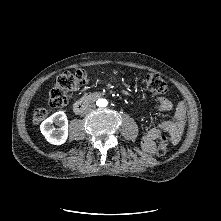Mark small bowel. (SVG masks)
Here are the masks:
<instances>
[{"label": "small bowel", "instance_id": "1", "mask_svg": "<svg viewBox=\"0 0 221 221\" xmlns=\"http://www.w3.org/2000/svg\"><path fill=\"white\" fill-rule=\"evenodd\" d=\"M159 111L162 114L168 113L172 109L171 101L166 97H159ZM186 117L185 105L181 102L177 105L175 118L172 121H164L158 127H151L142 138V145L148 152L155 150V141L159 138L161 131L170 132L175 142L180 138Z\"/></svg>", "mask_w": 221, "mask_h": 221}]
</instances>
